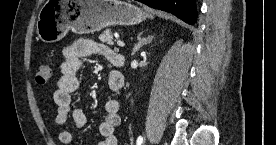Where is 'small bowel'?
Returning <instances> with one entry per match:
<instances>
[{
    "label": "small bowel",
    "mask_w": 276,
    "mask_h": 145,
    "mask_svg": "<svg viewBox=\"0 0 276 145\" xmlns=\"http://www.w3.org/2000/svg\"><path fill=\"white\" fill-rule=\"evenodd\" d=\"M115 54L106 45L90 39L76 40L64 48L63 61L60 65L61 76L56 82V90L53 95L54 103L57 106L56 126L63 127L70 116L75 128L81 129L86 125L87 119L84 111L80 108H72L71 97L79 88L77 73L82 66V59L90 55H100L112 61ZM115 75L116 71L109 72V86ZM105 113L104 120L100 125L103 139L99 145H117L115 129L121 122L119 101L109 98L105 102ZM59 141L61 144H71L72 134L67 130L60 131Z\"/></svg>",
    "instance_id": "1"
}]
</instances>
